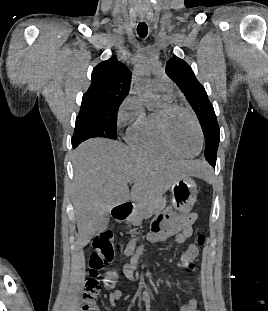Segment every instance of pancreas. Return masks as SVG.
<instances>
[{
  "instance_id": "obj_1",
  "label": "pancreas",
  "mask_w": 268,
  "mask_h": 311,
  "mask_svg": "<svg viewBox=\"0 0 268 311\" xmlns=\"http://www.w3.org/2000/svg\"><path fill=\"white\" fill-rule=\"evenodd\" d=\"M166 206V199L157 197L138 202L135 208L134 215L130 218L129 223L133 226H138L144 218L156 214L163 210Z\"/></svg>"
}]
</instances>
